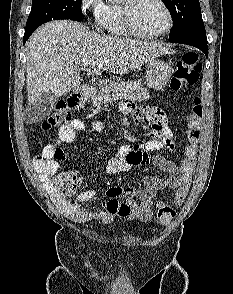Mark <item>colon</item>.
<instances>
[{
  "mask_svg": "<svg viewBox=\"0 0 233 294\" xmlns=\"http://www.w3.org/2000/svg\"><path fill=\"white\" fill-rule=\"evenodd\" d=\"M201 66L198 63L197 54L186 52L177 61L175 71L171 79V88L180 90L183 87L194 85L200 76ZM71 119L70 113L64 104H59L55 111L42 124L44 129L64 127ZM203 120V106L199 97L193 99L190 113L187 117L186 139L184 156L181 161L178 186L174 194V204L180 206L184 203L192 182L196 165L197 144L199 142L200 130ZM44 157H39L42 160ZM58 191L65 197L72 195L80 184V178L72 173H61L55 178ZM120 211L127 213L128 207L121 205ZM176 211L170 205L158 203L156 221L160 225L169 224L175 217Z\"/></svg>",
  "mask_w": 233,
  "mask_h": 294,
  "instance_id": "1",
  "label": "colon"
}]
</instances>
